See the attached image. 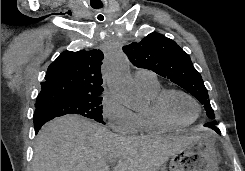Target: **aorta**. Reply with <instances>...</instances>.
Here are the masks:
<instances>
[{
	"label": "aorta",
	"instance_id": "762f6f07",
	"mask_svg": "<svg viewBox=\"0 0 245 171\" xmlns=\"http://www.w3.org/2000/svg\"><path fill=\"white\" fill-rule=\"evenodd\" d=\"M104 79L109 90L129 109L138 110L143 102L130 75V64L121 53L104 68Z\"/></svg>",
	"mask_w": 245,
	"mask_h": 171
}]
</instances>
